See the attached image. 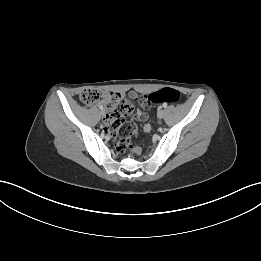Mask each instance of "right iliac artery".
I'll return each instance as SVG.
<instances>
[{
    "label": "right iliac artery",
    "mask_w": 261,
    "mask_h": 261,
    "mask_svg": "<svg viewBox=\"0 0 261 261\" xmlns=\"http://www.w3.org/2000/svg\"><path fill=\"white\" fill-rule=\"evenodd\" d=\"M99 109H101V110H102V109H103V106H102V105H99Z\"/></svg>",
    "instance_id": "1"
}]
</instances>
